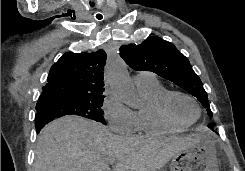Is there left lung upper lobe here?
<instances>
[{
    "instance_id": "1",
    "label": "left lung upper lobe",
    "mask_w": 245,
    "mask_h": 171,
    "mask_svg": "<svg viewBox=\"0 0 245 171\" xmlns=\"http://www.w3.org/2000/svg\"><path fill=\"white\" fill-rule=\"evenodd\" d=\"M120 56L136 71H151L172 81L195 96L208 115L210 110L208 95L200 78L195 74L187 57L170 42L159 37H149L141 44H129L120 47Z\"/></svg>"
}]
</instances>
